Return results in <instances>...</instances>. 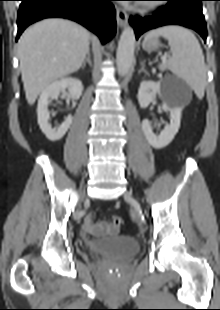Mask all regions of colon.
<instances>
[{"label":"colon","instance_id":"5ec220e1","mask_svg":"<svg viewBox=\"0 0 220 310\" xmlns=\"http://www.w3.org/2000/svg\"><path fill=\"white\" fill-rule=\"evenodd\" d=\"M121 223H122V220L120 217L114 216L112 218V229L114 232H116L119 229V227L121 226Z\"/></svg>","mask_w":220,"mask_h":310}]
</instances>
